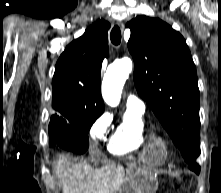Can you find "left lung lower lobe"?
Instances as JSON below:
<instances>
[{
    "label": "left lung lower lobe",
    "instance_id": "1",
    "mask_svg": "<svg viewBox=\"0 0 221 193\" xmlns=\"http://www.w3.org/2000/svg\"><path fill=\"white\" fill-rule=\"evenodd\" d=\"M187 164H188V167H189L191 170H193L194 172H196V173H199V172H200V166H199L197 160L194 161V162H192V163H187Z\"/></svg>",
    "mask_w": 221,
    "mask_h": 193
}]
</instances>
